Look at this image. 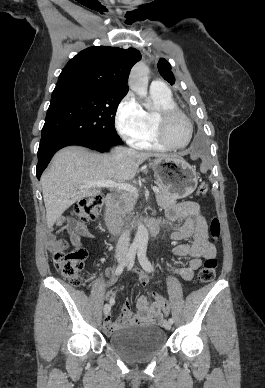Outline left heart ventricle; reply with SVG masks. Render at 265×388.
<instances>
[{
    "label": "left heart ventricle",
    "instance_id": "b2bd125f",
    "mask_svg": "<svg viewBox=\"0 0 265 388\" xmlns=\"http://www.w3.org/2000/svg\"><path fill=\"white\" fill-rule=\"evenodd\" d=\"M163 131L167 141L172 145H181L186 141V125L183 118L177 113L165 118Z\"/></svg>",
    "mask_w": 265,
    "mask_h": 388
}]
</instances>
